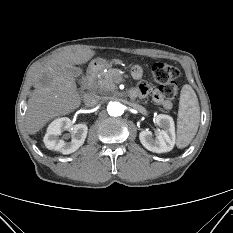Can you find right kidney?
<instances>
[{"instance_id":"1","label":"right kidney","mask_w":233,"mask_h":233,"mask_svg":"<svg viewBox=\"0 0 233 233\" xmlns=\"http://www.w3.org/2000/svg\"><path fill=\"white\" fill-rule=\"evenodd\" d=\"M68 130L72 134V139L67 142L65 138L60 139L59 135ZM88 132L86 124L73 125L67 117L55 119L47 128V133L44 136V144L49 150L59 151L62 154H71L83 145Z\"/></svg>"}]
</instances>
